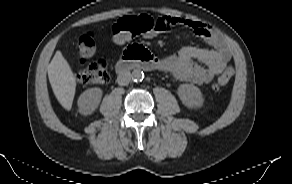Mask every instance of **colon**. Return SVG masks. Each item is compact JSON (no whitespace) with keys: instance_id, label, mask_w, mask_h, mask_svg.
I'll list each match as a JSON object with an SVG mask.
<instances>
[{"instance_id":"1","label":"colon","mask_w":292,"mask_h":184,"mask_svg":"<svg viewBox=\"0 0 292 184\" xmlns=\"http://www.w3.org/2000/svg\"><path fill=\"white\" fill-rule=\"evenodd\" d=\"M160 34L155 19L147 15L128 16L119 19L112 28V36L115 42L122 44L130 39L141 36L145 39H153ZM77 49L79 55L85 61L95 51V42L90 33L80 36ZM234 74V69L228 67L225 72L212 85L214 90L225 86ZM76 77L83 85L104 84L109 80L107 64L104 60L83 64L77 71Z\"/></svg>"}]
</instances>
